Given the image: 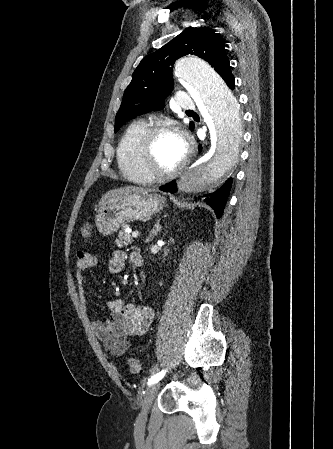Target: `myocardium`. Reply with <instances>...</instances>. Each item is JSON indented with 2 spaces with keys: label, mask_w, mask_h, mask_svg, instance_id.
Masks as SVG:
<instances>
[{
  "label": "myocardium",
  "mask_w": 333,
  "mask_h": 449,
  "mask_svg": "<svg viewBox=\"0 0 333 449\" xmlns=\"http://www.w3.org/2000/svg\"><path fill=\"white\" fill-rule=\"evenodd\" d=\"M162 132H171L178 135L177 130L172 125L165 122H154L147 126L139 144V160L143 172L152 181H166L176 177L189 163L190 153L186 148V153L181 162L170 171H161L153 165V148L156 137Z\"/></svg>",
  "instance_id": "obj_1"
}]
</instances>
